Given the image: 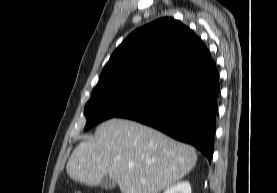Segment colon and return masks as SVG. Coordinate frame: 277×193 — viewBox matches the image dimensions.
I'll list each match as a JSON object with an SVG mask.
<instances>
[{"mask_svg":"<svg viewBox=\"0 0 277 193\" xmlns=\"http://www.w3.org/2000/svg\"><path fill=\"white\" fill-rule=\"evenodd\" d=\"M75 193H82V192L77 191V192H75Z\"/></svg>","mask_w":277,"mask_h":193,"instance_id":"5ec220e1","label":"colon"}]
</instances>
